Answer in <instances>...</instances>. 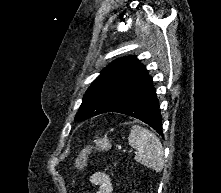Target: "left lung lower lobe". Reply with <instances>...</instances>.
<instances>
[{
  "instance_id": "1",
  "label": "left lung lower lobe",
  "mask_w": 221,
  "mask_h": 193,
  "mask_svg": "<svg viewBox=\"0 0 221 193\" xmlns=\"http://www.w3.org/2000/svg\"><path fill=\"white\" fill-rule=\"evenodd\" d=\"M107 112H117L137 118L163 136L159 101L152 77L147 72L126 87L103 113Z\"/></svg>"
}]
</instances>
